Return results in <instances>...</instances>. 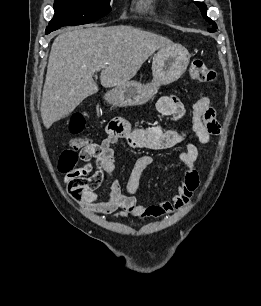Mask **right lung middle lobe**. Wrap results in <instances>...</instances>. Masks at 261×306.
<instances>
[{"instance_id": "right-lung-middle-lobe-1", "label": "right lung middle lobe", "mask_w": 261, "mask_h": 306, "mask_svg": "<svg viewBox=\"0 0 261 306\" xmlns=\"http://www.w3.org/2000/svg\"><path fill=\"white\" fill-rule=\"evenodd\" d=\"M49 26L81 25L94 22L111 11L110 0H55Z\"/></svg>"}]
</instances>
